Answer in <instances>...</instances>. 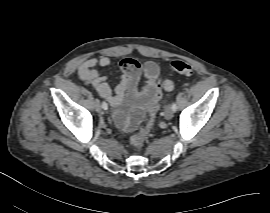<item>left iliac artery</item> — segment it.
<instances>
[{
	"label": "left iliac artery",
	"mask_w": 270,
	"mask_h": 213,
	"mask_svg": "<svg viewBox=\"0 0 270 213\" xmlns=\"http://www.w3.org/2000/svg\"><path fill=\"white\" fill-rule=\"evenodd\" d=\"M171 109H172L174 112H176V111H177L178 107H177V105H176V103H175V102H173V103H172V105H171Z\"/></svg>",
	"instance_id": "44dca946"
}]
</instances>
